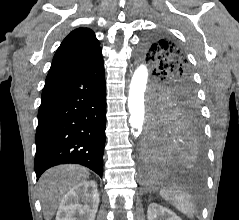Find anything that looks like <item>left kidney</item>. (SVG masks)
I'll use <instances>...</instances> for the list:
<instances>
[{
  "instance_id": "1",
  "label": "left kidney",
  "mask_w": 239,
  "mask_h": 220,
  "mask_svg": "<svg viewBox=\"0 0 239 220\" xmlns=\"http://www.w3.org/2000/svg\"><path fill=\"white\" fill-rule=\"evenodd\" d=\"M148 220H182L173 211L156 203H151L147 210Z\"/></svg>"
}]
</instances>
